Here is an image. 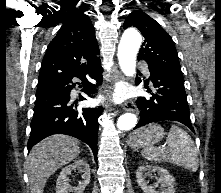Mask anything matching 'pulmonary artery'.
<instances>
[{
    "label": "pulmonary artery",
    "instance_id": "obj_1",
    "mask_svg": "<svg viewBox=\"0 0 221 193\" xmlns=\"http://www.w3.org/2000/svg\"><path fill=\"white\" fill-rule=\"evenodd\" d=\"M141 68L146 76H149V70L146 64H142Z\"/></svg>",
    "mask_w": 221,
    "mask_h": 193
}]
</instances>
